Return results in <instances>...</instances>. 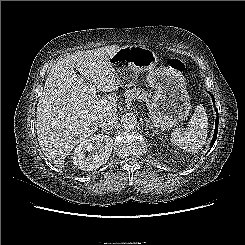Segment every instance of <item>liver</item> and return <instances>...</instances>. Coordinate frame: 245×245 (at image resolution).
Instances as JSON below:
<instances>
[{
	"instance_id": "1",
	"label": "liver",
	"mask_w": 245,
	"mask_h": 245,
	"mask_svg": "<svg viewBox=\"0 0 245 245\" xmlns=\"http://www.w3.org/2000/svg\"><path fill=\"white\" fill-rule=\"evenodd\" d=\"M119 49L111 45L78 51L61 57L48 74L37 104V136L45 157L57 168L63 169L75 146L97 131L101 118L117 112L120 84L109 59ZM89 84L108 94H92Z\"/></svg>"
}]
</instances>
